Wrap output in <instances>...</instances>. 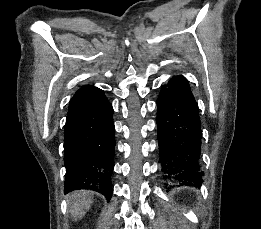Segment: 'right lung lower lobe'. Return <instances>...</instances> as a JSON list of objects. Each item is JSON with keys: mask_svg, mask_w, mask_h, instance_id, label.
Returning <instances> with one entry per match:
<instances>
[{"mask_svg": "<svg viewBox=\"0 0 261 229\" xmlns=\"http://www.w3.org/2000/svg\"><path fill=\"white\" fill-rule=\"evenodd\" d=\"M113 108L103 91L80 88L70 101L64 130V192L86 189L111 199L114 167Z\"/></svg>", "mask_w": 261, "mask_h": 229, "instance_id": "1", "label": "right lung lower lobe"}]
</instances>
